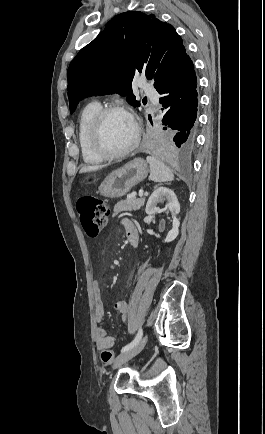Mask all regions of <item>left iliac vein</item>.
<instances>
[{"mask_svg": "<svg viewBox=\"0 0 265 434\" xmlns=\"http://www.w3.org/2000/svg\"><path fill=\"white\" fill-rule=\"evenodd\" d=\"M147 337L144 336L134 347L120 354L114 361V368L122 367L128 360L137 355L146 345Z\"/></svg>", "mask_w": 265, "mask_h": 434, "instance_id": "4c4485c4", "label": "left iliac vein"}]
</instances>
